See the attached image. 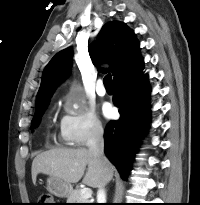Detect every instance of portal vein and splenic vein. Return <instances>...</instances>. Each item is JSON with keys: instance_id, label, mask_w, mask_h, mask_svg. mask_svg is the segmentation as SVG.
I'll return each mask as SVG.
<instances>
[{"instance_id": "portal-vein-and-splenic-vein-1", "label": "portal vein and splenic vein", "mask_w": 200, "mask_h": 205, "mask_svg": "<svg viewBox=\"0 0 200 205\" xmlns=\"http://www.w3.org/2000/svg\"><path fill=\"white\" fill-rule=\"evenodd\" d=\"M80 195L82 198L84 199H89L91 198L92 196V190L90 188H83L81 191H80Z\"/></svg>"}]
</instances>
